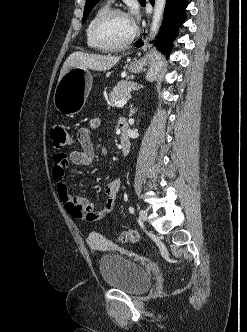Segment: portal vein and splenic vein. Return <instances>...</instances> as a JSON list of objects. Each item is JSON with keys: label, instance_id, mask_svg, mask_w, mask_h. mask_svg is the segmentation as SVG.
<instances>
[{"label": "portal vein and splenic vein", "instance_id": "portal-vein-and-splenic-vein-1", "mask_svg": "<svg viewBox=\"0 0 247 332\" xmlns=\"http://www.w3.org/2000/svg\"><path fill=\"white\" fill-rule=\"evenodd\" d=\"M126 103H127L126 99L117 100V101L114 102L113 106L123 107Z\"/></svg>", "mask_w": 247, "mask_h": 332}]
</instances>
